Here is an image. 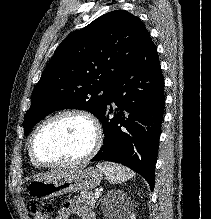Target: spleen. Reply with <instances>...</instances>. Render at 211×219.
<instances>
[{"mask_svg": "<svg viewBox=\"0 0 211 219\" xmlns=\"http://www.w3.org/2000/svg\"><path fill=\"white\" fill-rule=\"evenodd\" d=\"M97 167L106 175L112 184L122 183L134 176V173L118 164L103 162L98 163Z\"/></svg>", "mask_w": 211, "mask_h": 219, "instance_id": "obj_1", "label": "spleen"}]
</instances>
